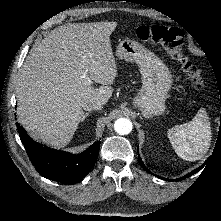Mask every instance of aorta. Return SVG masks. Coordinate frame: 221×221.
<instances>
[{
	"label": "aorta",
	"instance_id": "aorta-1",
	"mask_svg": "<svg viewBox=\"0 0 221 221\" xmlns=\"http://www.w3.org/2000/svg\"><path fill=\"white\" fill-rule=\"evenodd\" d=\"M114 129L120 135L129 134L132 131V122L127 118H119L115 121Z\"/></svg>",
	"mask_w": 221,
	"mask_h": 221
}]
</instances>
